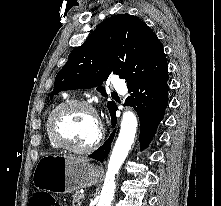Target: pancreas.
Wrapping results in <instances>:
<instances>
[{"label": "pancreas", "mask_w": 221, "mask_h": 206, "mask_svg": "<svg viewBox=\"0 0 221 206\" xmlns=\"http://www.w3.org/2000/svg\"><path fill=\"white\" fill-rule=\"evenodd\" d=\"M82 194H80L79 192H76L74 195H73V206H81V203H82Z\"/></svg>", "instance_id": "1"}]
</instances>
